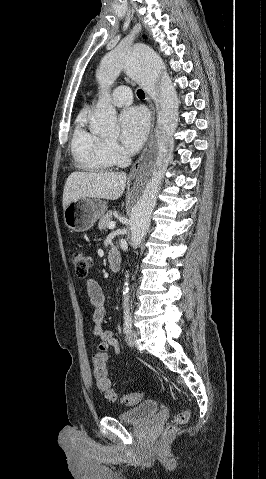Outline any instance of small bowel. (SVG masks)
Instances as JSON below:
<instances>
[{"label":"small bowel","instance_id":"obj_1","mask_svg":"<svg viewBox=\"0 0 266 479\" xmlns=\"http://www.w3.org/2000/svg\"><path fill=\"white\" fill-rule=\"evenodd\" d=\"M85 288L89 300L93 306V335L100 340L101 344H105L107 348H113L116 354H118V342L114 338L113 333L109 330H104L101 326L105 315V295L103 293V290L100 285L93 279H88L86 281Z\"/></svg>","mask_w":266,"mask_h":479}]
</instances>
